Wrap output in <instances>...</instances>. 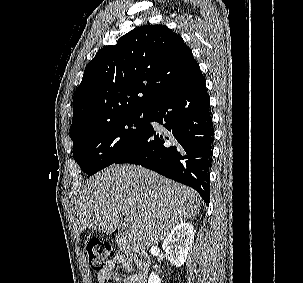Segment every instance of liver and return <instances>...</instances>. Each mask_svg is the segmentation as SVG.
<instances>
[{"label": "liver", "instance_id": "1", "mask_svg": "<svg viewBox=\"0 0 303 283\" xmlns=\"http://www.w3.org/2000/svg\"><path fill=\"white\" fill-rule=\"evenodd\" d=\"M200 210L195 190L136 165H112L90 177L77 198L76 234L119 229L128 216L129 244L148 249Z\"/></svg>", "mask_w": 303, "mask_h": 283}]
</instances>
